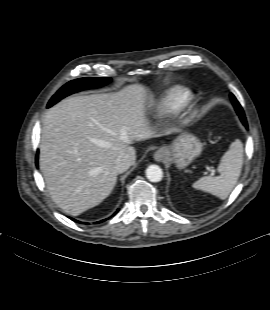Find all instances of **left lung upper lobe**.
<instances>
[{"label":"left lung upper lobe","mask_w":270,"mask_h":310,"mask_svg":"<svg viewBox=\"0 0 270 310\" xmlns=\"http://www.w3.org/2000/svg\"><path fill=\"white\" fill-rule=\"evenodd\" d=\"M230 97H231L232 103H233L242 123L245 126H247L246 118H245V115H244V112H243L241 105L239 104V102L237 101V99L235 98V96L233 94H231Z\"/></svg>","instance_id":"5c2ea615"}]
</instances>
